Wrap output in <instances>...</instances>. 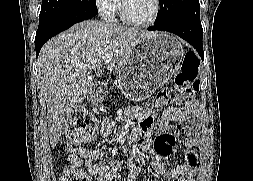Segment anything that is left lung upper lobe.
<instances>
[{"label":"left lung upper lobe","mask_w":253,"mask_h":181,"mask_svg":"<svg viewBox=\"0 0 253 181\" xmlns=\"http://www.w3.org/2000/svg\"><path fill=\"white\" fill-rule=\"evenodd\" d=\"M160 10L154 24L200 19L199 0H159Z\"/></svg>","instance_id":"5c2ea615"}]
</instances>
